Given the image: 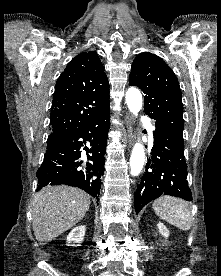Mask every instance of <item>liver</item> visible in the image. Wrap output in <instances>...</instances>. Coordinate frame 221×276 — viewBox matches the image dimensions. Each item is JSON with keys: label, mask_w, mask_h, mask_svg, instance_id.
<instances>
[{"label": "liver", "mask_w": 221, "mask_h": 276, "mask_svg": "<svg viewBox=\"0 0 221 276\" xmlns=\"http://www.w3.org/2000/svg\"><path fill=\"white\" fill-rule=\"evenodd\" d=\"M90 196L65 185L44 187L32 201V226L36 239L45 244L71 229L86 214Z\"/></svg>", "instance_id": "1"}]
</instances>
